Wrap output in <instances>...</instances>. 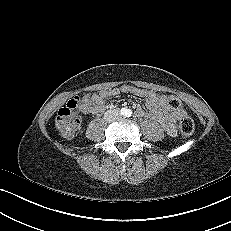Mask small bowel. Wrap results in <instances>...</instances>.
<instances>
[{
    "label": "small bowel",
    "mask_w": 231,
    "mask_h": 231,
    "mask_svg": "<svg viewBox=\"0 0 231 231\" xmlns=\"http://www.w3.org/2000/svg\"><path fill=\"white\" fill-rule=\"evenodd\" d=\"M120 94H134L145 100L146 109L138 105L136 114L140 118H148L161 124L163 130L170 136L177 134L176 123L185 115L183 110H173L167 105V96L157 94L131 85H122L109 90H101L92 96L85 95L79 99V104L84 113L97 114L106 109V101Z\"/></svg>",
    "instance_id": "1"
}]
</instances>
